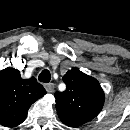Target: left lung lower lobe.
<instances>
[{
  "label": "left lung lower lobe",
  "instance_id": "obj_1",
  "mask_svg": "<svg viewBox=\"0 0 130 130\" xmlns=\"http://www.w3.org/2000/svg\"><path fill=\"white\" fill-rule=\"evenodd\" d=\"M59 118L61 119V121H62L65 125H67V126H69V127H78V126L84 124V123H82V122H80V121H78V120H71V119L61 118V117H59Z\"/></svg>",
  "mask_w": 130,
  "mask_h": 130
}]
</instances>
